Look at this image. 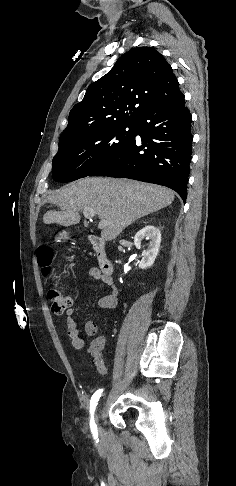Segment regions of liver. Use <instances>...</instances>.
<instances>
[{"mask_svg":"<svg viewBox=\"0 0 236 486\" xmlns=\"http://www.w3.org/2000/svg\"><path fill=\"white\" fill-rule=\"evenodd\" d=\"M174 193L165 187L128 179L92 177L80 179L53 192L47 202L61 211H48L45 224L68 227L80 222V211L92 209L106 222L101 238L115 239L127 226L170 205Z\"/></svg>","mask_w":236,"mask_h":486,"instance_id":"6515ba94","label":"liver"}]
</instances>
